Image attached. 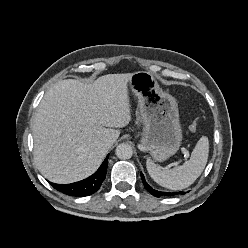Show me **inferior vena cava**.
<instances>
[{"label":"inferior vena cava","mask_w":248,"mask_h":248,"mask_svg":"<svg viewBox=\"0 0 248 248\" xmlns=\"http://www.w3.org/2000/svg\"><path fill=\"white\" fill-rule=\"evenodd\" d=\"M113 140L111 139H105L103 142H102V145L104 147H107V148H110L112 145H113Z\"/></svg>","instance_id":"602c4592"}]
</instances>
